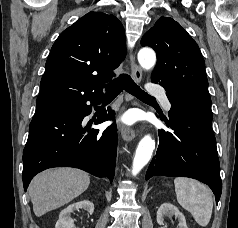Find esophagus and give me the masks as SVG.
Masks as SVG:
<instances>
[{
  "label": "esophagus",
  "mask_w": 238,
  "mask_h": 228,
  "mask_svg": "<svg viewBox=\"0 0 238 228\" xmlns=\"http://www.w3.org/2000/svg\"><path fill=\"white\" fill-rule=\"evenodd\" d=\"M130 69L132 77L137 81L140 82L142 79V70L137 65L135 61V56L133 53L130 54ZM121 136L125 141H131L135 135L136 131L133 128L127 127L125 125L120 126Z\"/></svg>",
  "instance_id": "obj_1"
}]
</instances>
